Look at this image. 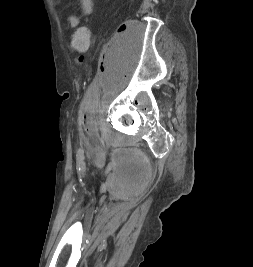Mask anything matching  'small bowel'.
I'll return each mask as SVG.
<instances>
[{
	"label": "small bowel",
	"mask_w": 253,
	"mask_h": 267,
	"mask_svg": "<svg viewBox=\"0 0 253 267\" xmlns=\"http://www.w3.org/2000/svg\"><path fill=\"white\" fill-rule=\"evenodd\" d=\"M84 15H91L94 9L93 0H77ZM80 23V19L76 15H69L67 17V25L71 28H77Z\"/></svg>",
	"instance_id": "1"
}]
</instances>
